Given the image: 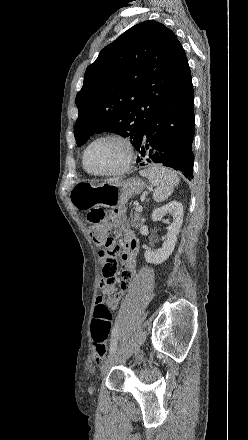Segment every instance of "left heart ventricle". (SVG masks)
Masks as SVG:
<instances>
[{"label":"left heart ventricle","instance_id":"1","mask_svg":"<svg viewBox=\"0 0 248 440\" xmlns=\"http://www.w3.org/2000/svg\"><path fill=\"white\" fill-rule=\"evenodd\" d=\"M125 158L126 150L120 142L102 140L90 148L87 165L94 172H107L120 168Z\"/></svg>","mask_w":248,"mask_h":440}]
</instances>
